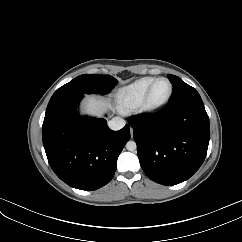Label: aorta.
<instances>
[{"label":"aorta","mask_w":242,"mask_h":242,"mask_svg":"<svg viewBox=\"0 0 242 242\" xmlns=\"http://www.w3.org/2000/svg\"><path fill=\"white\" fill-rule=\"evenodd\" d=\"M136 148H137V145H136L135 141H128L127 142L126 149L128 151H134V150H136Z\"/></svg>","instance_id":"obj_1"}]
</instances>
